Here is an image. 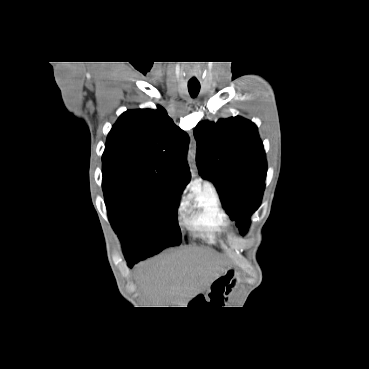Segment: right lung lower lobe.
I'll use <instances>...</instances> for the list:
<instances>
[{
    "label": "right lung lower lobe",
    "mask_w": 369,
    "mask_h": 369,
    "mask_svg": "<svg viewBox=\"0 0 369 369\" xmlns=\"http://www.w3.org/2000/svg\"><path fill=\"white\" fill-rule=\"evenodd\" d=\"M137 262H138L137 260L127 261L128 265H129L130 267H133V265H134L135 263H137Z\"/></svg>",
    "instance_id": "right-lung-lower-lobe-1"
}]
</instances>
